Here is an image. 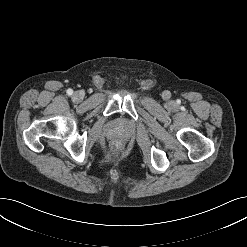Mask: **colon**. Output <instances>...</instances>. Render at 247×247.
<instances>
[{
    "label": "colon",
    "mask_w": 247,
    "mask_h": 247,
    "mask_svg": "<svg viewBox=\"0 0 247 247\" xmlns=\"http://www.w3.org/2000/svg\"><path fill=\"white\" fill-rule=\"evenodd\" d=\"M119 149H120V147L117 144L112 146V152L113 153H117L119 151Z\"/></svg>",
    "instance_id": "1"
}]
</instances>
